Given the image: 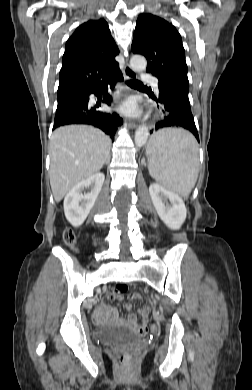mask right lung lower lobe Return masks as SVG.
<instances>
[{"mask_svg":"<svg viewBox=\"0 0 252 390\" xmlns=\"http://www.w3.org/2000/svg\"><path fill=\"white\" fill-rule=\"evenodd\" d=\"M118 81H123L120 70L114 72L103 84L84 89L81 92L58 102L53 129L68 124H88L102 129L114 141L117 128L123 122L122 118H120L117 113L107 114L97 111L95 107L93 108L88 105V101L89 95H98L108 84H110L111 89H113L115 83ZM111 100L109 95H106L104 98V102L108 105H110Z\"/></svg>","mask_w":252,"mask_h":390,"instance_id":"right-lung-lower-lobe-1","label":"right lung lower lobe"}]
</instances>
